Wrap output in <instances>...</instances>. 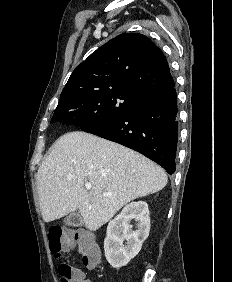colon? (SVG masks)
Wrapping results in <instances>:
<instances>
[{
	"label": "colon",
	"instance_id": "colon-1",
	"mask_svg": "<svg viewBox=\"0 0 232 282\" xmlns=\"http://www.w3.org/2000/svg\"><path fill=\"white\" fill-rule=\"evenodd\" d=\"M51 253L59 257L68 248L78 247L82 256L83 264L88 268L95 267L100 260L99 250L91 236L85 232H67L62 228H51L48 235ZM60 282H80L81 277L77 274V268L61 263L58 266Z\"/></svg>",
	"mask_w": 232,
	"mask_h": 282
}]
</instances>
